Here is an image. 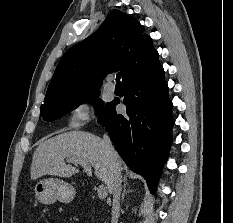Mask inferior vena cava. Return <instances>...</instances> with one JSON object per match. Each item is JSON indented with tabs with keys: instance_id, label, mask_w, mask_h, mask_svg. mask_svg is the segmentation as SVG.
I'll use <instances>...</instances> for the list:
<instances>
[{
	"instance_id": "602c4592",
	"label": "inferior vena cava",
	"mask_w": 233,
	"mask_h": 223,
	"mask_svg": "<svg viewBox=\"0 0 233 223\" xmlns=\"http://www.w3.org/2000/svg\"><path fill=\"white\" fill-rule=\"evenodd\" d=\"M103 145L105 151H107L110 159H117L118 153L113 149L111 139L107 133L103 135ZM113 175L110 181L111 193H112V213H111V223H117L118 215L120 211V191H121V171L120 165L113 163L112 165Z\"/></svg>"
}]
</instances>
